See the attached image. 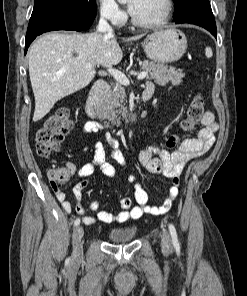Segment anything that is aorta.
<instances>
[{
    "label": "aorta",
    "instance_id": "762f6f07",
    "mask_svg": "<svg viewBox=\"0 0 247 296\" xmlns=\"http://www.w3.org/2000/svg\"><path fill=\"white\" fill-rule=\"evenodd\" d=\"M120 3H125L127 2L128 0H118Z\"/></svg>",
    "mask_w": 247,
    "mask_h": 296
}]
</instances>
